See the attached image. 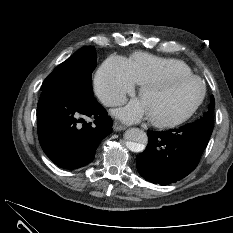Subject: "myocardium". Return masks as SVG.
<instances>
[{"mask_svg":"<svg viewBox=\"0 0 233 233\" xmlns=\"http://www.w3.org/2000/svg\"><path fill=\"white\" fill-rule=\"evenodd\" d=\"M184 80H194L196 81L199 86H200V94L194 105L181 117L174 119V120H169V121H161V120H156L153 118L148 117V120L158 128H163V129H168V128H174L177 126H180L187 122L189 119H191L194 114L198 111L200 106L203 104L205 97H206V87L205 84L203 83L202 79L193 73L190 74H181V75H175V76H161L152 80H149L142 85H140L139 88V97L148 89H157L172 83H176L179 81H184Z\"/></svg>","mask_w":233,"mask_h":233,"instance_id":"f54148a6","label":"myocardium"}]
</instances>
